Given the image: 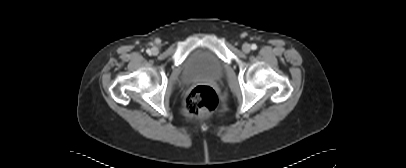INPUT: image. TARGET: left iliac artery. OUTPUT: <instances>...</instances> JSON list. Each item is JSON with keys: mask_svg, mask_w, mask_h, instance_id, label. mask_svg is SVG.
Masks as SVG:
<instances>
[{"mask_svg": "<svg viewBox=\"0 0 406 168\" xmlns=\"http://www.w3.org/2000/svg\"><path fill=\"white\" fill-rule=\"evenodd\" d=\"M251 49H252V50H256V49H257V45H256V44H252Z\"/></svg>", "mask_w": 406, "mask_h": 168, "instance_id": "44dca946", "label": "left iliac artery"}]
</instances>
